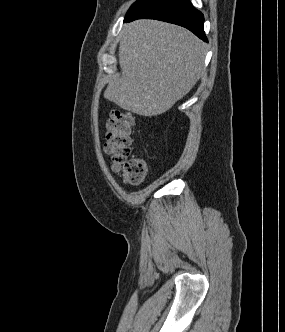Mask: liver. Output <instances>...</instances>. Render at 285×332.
I'll return each instance as SVG.
<instances>
[{
  "instance_id": "6515ba94",
  "label": "liver",
  "mask_w": 285,
  "mask_h": 332,
  "mask_svg": "<svg viewBox=\"0 0 285 332\" xmlns=\"http://www.w3.org/2000/svg\"><path fill=\"white\" fill-rule=\"evenodd\" d=\"M205 44L187 29L156 20L124 25L119 44L122 75L104 98L124 110L163 114L197 83L204 70Z\"/></svg>"
}]
</instances>
